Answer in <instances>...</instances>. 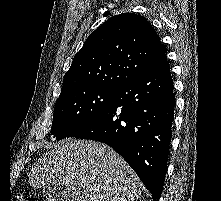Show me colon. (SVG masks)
Returning <instances> with one entry per match:
<instances>
[{
	"mask_svg": "<svg viewBox=\"0 0 221 201\" xmlns=\"http://www.w3.org/2000/svg\"><path fill=\"white\" fill-rule=\"evenodd\" d=\"M14 201H29V199L26 195H19L14 198Z\"/></svg>",
	"mask_w": 221,
	"mask_h": 201,
	"instance_id": "obj_1",
	"label": "colon"
}]
</instances>
